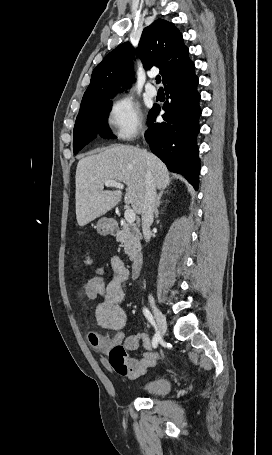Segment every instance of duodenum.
<instances>
[{
  "label": "duodenum",
  "mask_w": 272,
  "mask_h": 455,
  "mask_svg": "<svg viewBox=\"0 0 272 455\" xmlns=\"http://www.w3.org/2000/svg\"><path fill=\"white\" fill-rule=\"evenodd\" d=\"M113 229H116L115 227ZM143 265V257L141 254H136L132 259L131 275L133 278H137L141 272Z\"/></svg>",
  "instance_id": "duodenum-1"
}]
</instances>
